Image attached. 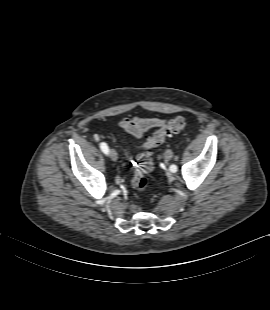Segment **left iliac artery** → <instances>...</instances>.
Returning <instances> with one entry per match:
<instances>
[{
  "mask_svg": "<svg viewBox=\"0 0 270 310\" xmlns=\"http://www.w3.org/2000/svg\"><path fill=\"white\" fill-rule=\"evenodd\" d=\"M170 170H171L172 172H176V171H177V166H176V165H171V166H170Z\"/></svg>",
  "mask_w": 270,
  "mask_h": 310,
  "instance_id": "1",
  "label": "left iliac artery"
}]
</instances>
